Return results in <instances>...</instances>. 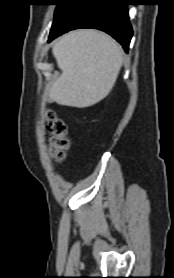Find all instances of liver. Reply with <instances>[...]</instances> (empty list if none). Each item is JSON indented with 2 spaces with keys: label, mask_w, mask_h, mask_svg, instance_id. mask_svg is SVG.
Here are the masks:
<instances>
[{
  "label": "liver",
  "mask_w": 174,
  "mask_h": 278,
  "mask_svg": "<svg viewBox=\"0 0 174 278\" xmlns=\"http://www.w3.org/2000/svg\"><path fill=\"white\" fill-rule=\"evenodd\" d=\"M62 74L47 93L59 105L85 108L112 90L122 66V50L109 35L84 29L69 32L52 47Z\"/></svg>",
  "instance_id": "liver-1"
}]
</instances>
